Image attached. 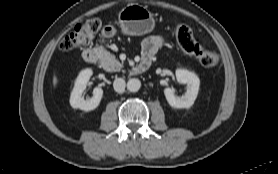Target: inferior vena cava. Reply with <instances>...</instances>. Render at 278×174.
Segmentation results:
<instances>
[{
    "label": "inferior vena cava",
    "mask_w": 278,
    "mask_h": 174,
    "mask_svg": "<svg viewBox=\"0 0 278 174\" xmlns=\"http://www.w3.org/2000/svg\"><path fill=\"white\" fill-rule=\"evenodd\" d=\"M125 80L123 78H116L113 83L114 90L118 93H123L125 90Z\"/></svg>",
    "instance_id": "inferior-vena-cava-1"
}]
</instances>
